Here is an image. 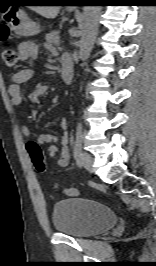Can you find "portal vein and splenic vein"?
Returning <instances> with one entry per match:
<instances>
[{"mask_svg": "<svg viewBox=\"0 0 156 266\" xmlns=\"http://www.w3.org/2000/svg\"><path fill=\"white\" fill-rule=\"evenodd\" d=\"M56 45H59V41L56 42Z\"/></svg>", "mask_w": 156, "mask_h": 266, "instance_id": "obj_1", "label": "portal vein and splenic vein"}]
</instances>
